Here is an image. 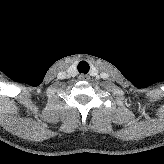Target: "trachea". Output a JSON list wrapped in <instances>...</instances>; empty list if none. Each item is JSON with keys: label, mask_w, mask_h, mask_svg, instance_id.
Returning a JSON list of instances; mask_svg holds the SVG:
<instances>
[{"label": "trachea", "mask_w": 164, "mask_h": 164, "mask_svg": "<svg viewBox=\"0 0 164 164\" xmlns=\"http://www.w3.org/2000/svg\"><path fill=\"white\" fill-rule=\"evenodd\" d=\"M77 69L79 73L87 74L89 72L90 66L86 61H80Z\"/></svg>", "instance_id": "1"}]
</instances>
